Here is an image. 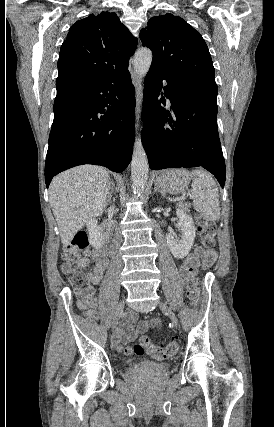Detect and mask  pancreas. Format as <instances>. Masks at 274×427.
Listing matches in <instances>:
<instances>
[{
  "label": "pancreas",
  "instance_id": "pancreas-1",
  "mask_svg": "<svg viewBox=\"0 0 274 427\" xmlns=\"http://www.w3.org/2000/svg\"><path fill=\"white\" fill-rule=\"evenodd\" d=\"M179 208H182V210H185V212H186V210H188V208H190V204H187V202H186V204H179Z\"/></svg>",
  "mask_w": 274,
  "mask_h": 427
}]
</instances>
